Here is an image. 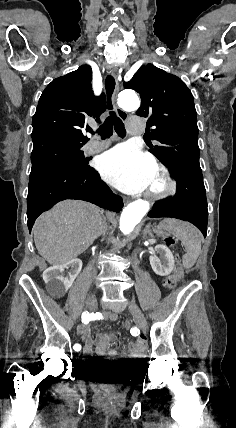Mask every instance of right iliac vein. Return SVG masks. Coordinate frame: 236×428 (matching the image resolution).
<instances>
[{
	"label": "right iliac vein",
	"mask_w": 236,
	"mask_h": 428,
	"mask_svg": "<svg viewBox=\"0 0 236 428\" xmlns=\"http://www.w3.org/2000/svg\"><path fill=\"white\" fill-rule=\"evenodd\" d=\"M88 303H89V310L91 311V312H94L95 310V308H97V306H98V303H97V301L95 300V298L94 297H92V296H89L88 297ZM82 338L83 339H86L87 338V335L86 334H83L82 335ZM83 341V340H82ZM84 342V341H83Z\"/></svg>",
	"instance_id": "obj_1"
}]
</instances>
